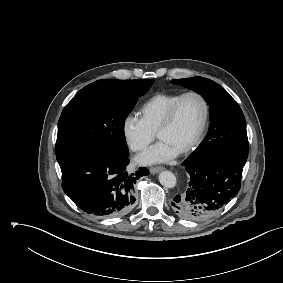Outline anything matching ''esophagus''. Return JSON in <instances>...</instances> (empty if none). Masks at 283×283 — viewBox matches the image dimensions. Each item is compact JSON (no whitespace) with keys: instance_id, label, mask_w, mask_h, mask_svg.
<instances>
[{"instance_id":"34e87169","label":"esophagus","mask_w":283,"mask_h":283,"mask_svg":"<svg viewBox=\"0 0 283 283\" xmlns=\"http://www.w3.org/2000/svg\"><path fill=\"white\" fill-rule=\"evenodd\" d=\"M162 170H164V167H162V166H157V167H151L150 168V172L152 174H156V173H158V172H160Z\"/></svg>"}]
</instances>
